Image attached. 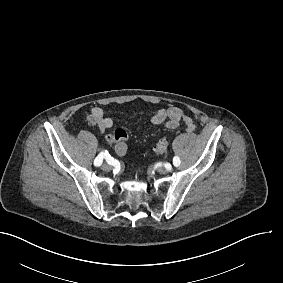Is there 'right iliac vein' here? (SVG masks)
Returning <instances> with one entry per match:
<instances>
[{
  "instance_id": "right-iliac-vein-1",
  "label": "right iliac vein",
  "mask_w": 283,
  "mask_h": 283,
  "mask_svg": "<svg viewBox=\"0 0 283 283\" xmlns=\"http://www.w3.org/2000/svg\"><path fill=\"white\" fill-rule=\"evenodd\" d=\"M102 169H103L105 172H109V171H111L112 166L109 165V164H104V165L102 166Z\"/></svg>"
}]
</instances>
